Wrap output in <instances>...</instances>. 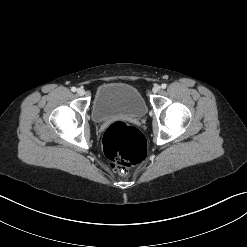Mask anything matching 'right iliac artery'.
Returning <instances> with one entry per match:
<instances>
[{
    "label": "right iliac artery",
    "mask_w": 247,
    "mask_h": 247,
    "mask_svg": "<svg viewBox=\"0 0 247 247\" xmlns=\"http://www.w3.org/2000/svg\"><path fill=\"white\" fill-rule=\"evenodd\" d=\"M76 90H77L76 87H72V88H71V91H72V92H75Z\"/></svg>",
    "instance_id": "right-iliac-artery-1"
}]
</instances>
